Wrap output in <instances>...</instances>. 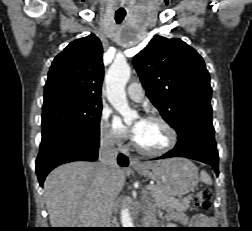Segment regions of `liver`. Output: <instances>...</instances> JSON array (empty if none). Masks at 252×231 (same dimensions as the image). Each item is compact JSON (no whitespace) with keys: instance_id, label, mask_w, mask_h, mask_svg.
I'll list each match as a JSON object with an SVG mask.
<instances>
[{"instance_id":"obj_1","label":"liver","mask_w":252,"mask_h":231,"mask_svg":"<svg viewBox=\"0 0 252 231\" xmlns=\"http://www.w3.org/2000/svg\"><path fill=\"white\" fill-rule=\"evenodd\" d=\"M125 180V169L109 176L96 163L72 162L56 168L44 182L52 228H105Z\"/></svg>"}]
</instances>
